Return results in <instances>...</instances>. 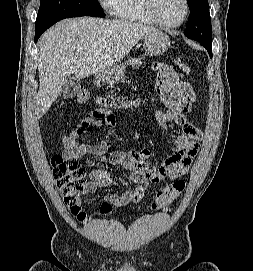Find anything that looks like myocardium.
Here are the masks:
<instances>
[{
  "mask_svg": "<svg viewBox=\"0 0 253 271\" xmlns=\"http://www.w3.org/2000/svg\"><path fill=\"white\" fill-rule=\"evenodd\" d=\"M146 2V8L148 13L150 14V16L152 17V19L159 24L162 27H166V28H178L180 27L188 18L189 13H190V5H189V1L188 0H183L184 2V6H185V12H184V16L183 18L175 24H171V23H167L165 21H163L156 9V0H145Z\"/></svg>",
  "mask_w": 253,
  "mask_h": 271,
  "instance_id": "f54148a6",
  "label": "myocardium"
}]
</instances>
